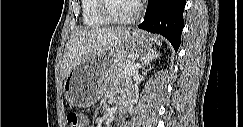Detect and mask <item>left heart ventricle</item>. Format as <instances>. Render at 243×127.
<instances>
[{"label": "left heart ventricle", "mask_w": 243, "mask_h": 127, "mask_svg": "<svg viewBox=\"0 0 243 127\" xmlns=\"http://www.w3.org/2000/svg\"><path fill=\"white\" fill-rule=\"evenodd\" d=\"M111 12L118 17H127L134 11V1L132 0H110Z\"/></svg>", "instance_id": "1"}]
</instances>
